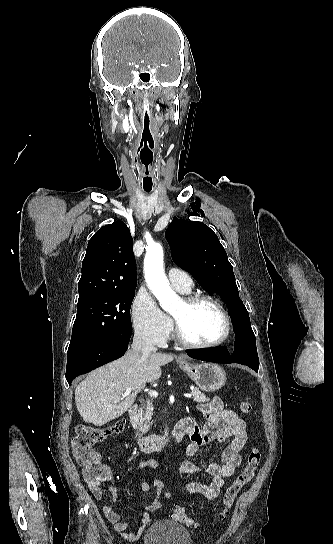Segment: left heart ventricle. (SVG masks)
Returning a JSON list of instances; mask_svg holds the SVG:
<instances>
[{
  "label": "left heart ventricle",
  "mask_w": 333,
  "mask_h": 544,
  "mask_svg": "<svg viewBox=\"0 0 333 544\" xmlns=\"http://www.w3.org/2000/svg\"><path fill=\"white\" fill-rule=\"evenodd\" d=\"M185 335L197 343H208L219 339L225 329L223 316L210 302L188 308L182 301L172 312Z\"/></svg>",
  "instance_id": "b2bd125f"
}]
</instances>
